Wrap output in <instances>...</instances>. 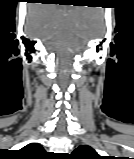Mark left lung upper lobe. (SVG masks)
Wrapping results in <instances>:
<instances>
[{
  "mask_svg": "<svg viewBox=\"0 0 134 159\" xmlns=\"http://www.w3.org/2000/svg\"><path fill=\"white\" fill-rule=\"evenodd\" d=\"M70 159H104L93 148L87 145L78 147L71 154Z\"/></svg>",
  "mask_w": 134,
  "mask_h": 159,
  "instance_id": "obj_1",
  "label": "left lung upper lobe"
}]
</instances>
